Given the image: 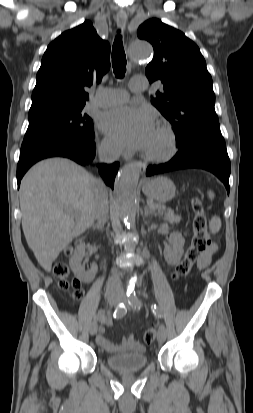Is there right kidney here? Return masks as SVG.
I'll use <instances>...</instances> for the list:
<instances>
[{"mask_svg": "<svg viewBox=\"0 0 253 413\" xmlns=\"http://www.w3.org/2000/svg\"><path fill=\"white\" fill-rule=\"evenodd\" d=\"M85 249V243L78 244L69 263L72 271L80 280L90 282L95 278L98 266L96 263H92L90 270L85 271L84 266L81 264L83 258L87 255Z\"/></svg>", "mask_w": 253, "mask_h": 413, "instance_id": "1", "label": "right kidney"}]
</instances>
